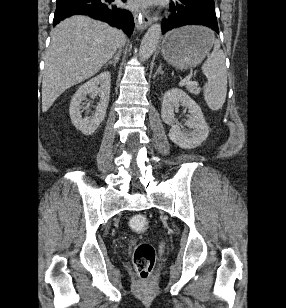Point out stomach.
<instances>
[{
	"mask_svg": "<svg viewBox=\"0 0 286 308\" xmlns=\"http://www.w3.org/2000/svg\"><path fill=\"white\" fill-rule=\"evenodd\" d=\"M214 44L213 32L202 26H185L167 33L162 55L172 65L184 69L199 64Z\"/></svg>",
	"mask_w": 286,
	"mask_h": 308,
	"instance_id": "stomach-1",
	"label": "stomach"
}]
</instances>
